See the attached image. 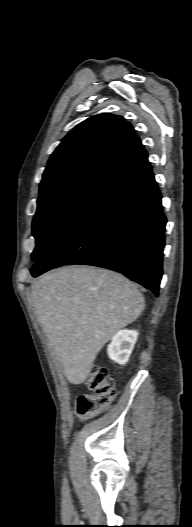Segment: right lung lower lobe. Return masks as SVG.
Returning <instances> with one entry per match:
<instances>
[{
    "instance_id": "1",
    "label": "right lung lower lobe",
    "mask_w": 192,
    "mask_h": 527,
    "mask_svg": "<svg viewBox=\"0 0 192 527\" xmlns=\"http://www.w3.org/2000/svg\"><path fill=\"white\" fill-rule=\"evenodd\" d=\"M165 225L161 194L144 151L107 181L30 272L37 277L67 264L104 267L158 296Z\"/></svg>"
}]
</instances>
